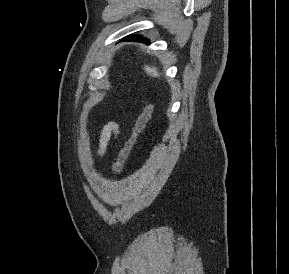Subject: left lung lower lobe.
<instances>
[{
  "mask_svg": "<svg viewBox=\"0 0 289 274\" xmlns=\"http://www.w3.org/2000/svg\"><path fill=\"white\" fill-rule=\"evenodd\" d=\"M142 41L144 43H149L148 40H146L145 38H142V37H137V36H129L127 37L126 39H124V41Z\"/></svg>",
  "mask_w": 289,
  "mask_h": 274,
  "instance_id": "left-lung-lower-lobe-1",
  "label": "left lung lower lobe"
}]
</instances>
